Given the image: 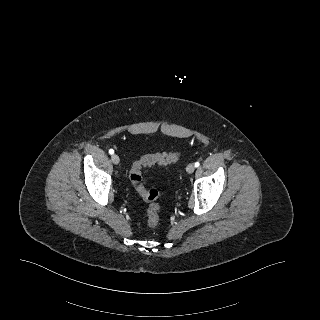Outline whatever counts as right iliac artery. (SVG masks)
I'll use <instances>...</instances> for the list:
<instances>
[{
	"mask_svg": "<svg viewBox=\"0 0 320 320\" xmlns=\"http://www.w3.org/2000/svg\"><path fill=\"white\" fill-rule=\"evenodd\" d=\"M109 153H110V154H113V153H114V150H113V149H110V150H109Z\"/></svg>",
	"mask_w": 320,
	"mask_h": 320,
	"instance_id": "right-iliac-artery-1",
	"label": "right iliac artery"
}]
</instances>
